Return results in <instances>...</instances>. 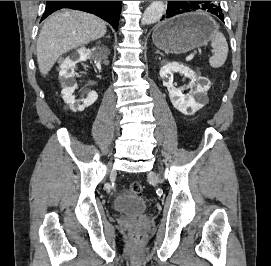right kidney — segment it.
Returning <instances> with one entry per match:
<instances>
[{"mask_svg":"<svg viewBox=\"0 0 271 266\" xmlns=\"http://www.w3.org/2000/svg\"><path fill=\"white\" fill-rule=\"evenodd\" d=\"M101 55L102 51L96 47L91 49L81 47L77 49L75 53H72L66 57L60 65L59 78L62 84V98L74 112L83 111L85 108L91 106L98 98L97 93L92 91L85 99L82 100V104H80L79 101L75 99L73 93L77 88V84L75 81L76 73L74 72V67L78 62L86 61L90 58H93L95 61H97V66L100 67V61L102 60Z\"/></svg>","mask_w":271,"mask_h":266,"instance_id":"obj_1","label":"right kidney"}]
</instances>
